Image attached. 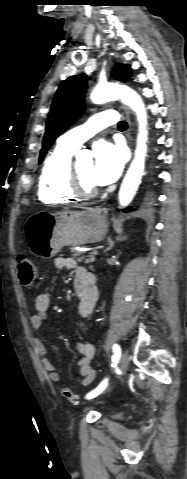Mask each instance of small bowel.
<instances>
[{
  "instance_id": "1",
  "label": "small bowel",
  "mask_w": 187,
  "mask_h": 479,
  "mask_svg": "<svg viewBox=\"0 0 187 479\" xmlns=\"http://www.w3.org/2000/svg\"><path fill=\"white\" fill-rule=\"evenodd\" d=\"M55 266L58 269H69L75 271L76 277L74 281V289L79 298L77 324L82 325L88 322L94 312L98 299L96 288L88 290L85 287V283L87 279L91 277V273L84 266L80 265L75 259L70 257H58L55 260ZM32 305L35 313L30 317V324L34 331V351L39 358L42 368L48 373L49 379L54 383H58L60 381V374L57 368L46 357V349L39 335L42 323L46 319L48 310L50 308L49 295L46 293L38 294L34 298ZM75 347L82 356L78 361L81 375L80 384L81 386L86 387L89 386L97 376V371L92 369L90 366V362L96 354V349L95 346L90 342H76Z\"/></svg>"
}]
</instances>
